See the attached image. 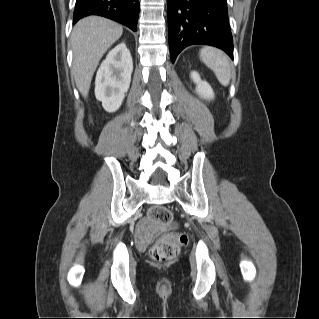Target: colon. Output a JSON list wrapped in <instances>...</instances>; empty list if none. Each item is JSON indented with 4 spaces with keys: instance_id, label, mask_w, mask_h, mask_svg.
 I'll list each match as a JSON object with an SVG mask.
<instances>
[{
    "instance_id": "obj_1",
    "label": "colon",
    "mask_w": 319,
    "mask_h": 319,
    "mask_svg": "<svg viewBox=\"0 0 319 319\" xmlns=\"http://www.w3.org/2000/svg\"><path fill=\"white\" fill-rule=\"evenodd\" d=\"M149 221L154 224L168 225L172 221V213L164 205H156L149 212ZM186 243L187 237L182 233L163 234L150 250V258L156 264L172 261Z\"/></svg>"
}]
</instances>
